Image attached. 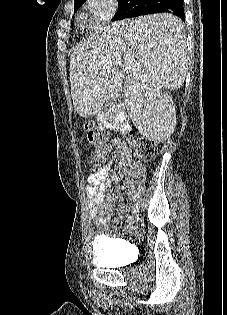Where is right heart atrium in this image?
Returning <instances> with one entry per match:
<instances>
[{
  "instance_id": "right-heart-atrium-1",
  "label": "right heart atrium",
  "mask_w": 227,
  "mask_h": 315,
  "mask_svg": "<svg viewBox=\"0 0 227 315\" xmlns=\"http://www.w3.org/2000/svg\"><path fill=\"white\" fill-rule=\"evenodd\" d=\"M93 23L99 27L106 24L117 11V0H86Z\"/></svg>"
}]
</instances>
